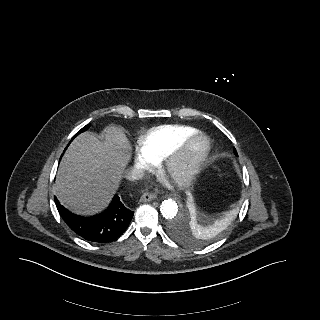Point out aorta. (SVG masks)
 Instances as JSON below:
<instances>
[{
    "mask_svg": "<svg viewBox=\"0 0 320 320\" xmlns=\"http://www.w3.org/2000/svg\"><path fill=\"white\" fill-rule=\"evenodd\" d=\"M161 214L166 219H173L178 214V205L172 199L164 200L160 206ZM188 222V214L185 217H182L178 223V226H183Z\"/></svg>",
    "mask_w": 320,
    "mask_h": 320,
    "instance_id": "762f6f07",
    "label": "aorta"
}]
</instances>
